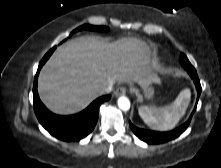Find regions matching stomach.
Segmentation results:
<instances>
[{
	"mask_svg": "<svg viewBox=\"0 0 221 168\" xmlns=\"http://www.w3.org/2000/svg\"><path fill=\"white\" fill-rule=\"evenodd\" d=\"M155 79H152L146 83L140 84L141 91L146 98H151L154 94L153 82Z\"/></svg>",
	"mask_w": 221,
	"mask_h": 168,
	"instance_id": "0dacf381",
	"label": "stomach"
}]
</instances>
